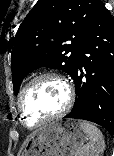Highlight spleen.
<instances>
[{"mask_svg":"<svg viewBox=\"0 0 114 156\" xmlns=\"http://www.w3.org/2000/svg\"><path fill=\"white\" fill-rule=\"evenodd\" d=\"M81 127L89 137V142L80 150L79 156H98L105 150V141L101 131L87 121H81Z\"/></svg>","mask_w":114,"mask_h":156,"instance_id":"spleen-1","label":"spleen"}]
</instances>
